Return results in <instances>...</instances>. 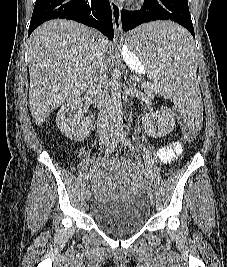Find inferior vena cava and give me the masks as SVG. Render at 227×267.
Masks as SVG:
<instances>
[{"label":"inferior vena cava","instance_id":"602c4592","mask_svg":"<svg viewBox=\"0 0 227 267\" xmlns=\"http://www.w3.org/2000/svg\"><path fill=\"white\" fill-rule=\"evenodd\" d=\"M100 37V33L94 31ZM106 58L105 49L99 44L95 45V54L92 70L89 78V88L94 93L98 108V133L102 138L113 132V118L111 111V99L109 96V85L106 80Z\"/></svg>","mask_w":227,"mask_h":267}]
</instances>
